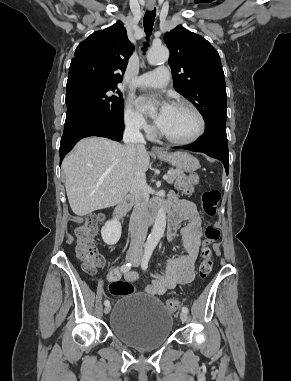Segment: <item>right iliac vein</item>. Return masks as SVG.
<instances>
[{
    "label": "right iliac vein",
    "instance_id": "obj_1",
    "mask_svg": "<svg viewBox=\"0 0 291 381\" xmlns=\"http://www.w3.org/2000/svg\"><path fill=\"white\" fill-rule=\"evenodd\" d=\"M137 256L135 254H128L126 256V260L129 261V262H134L136 260ZM111 310V306L110 305H107L105 308H104V313L105 314H108Z\"/></svg>",
    "mask_w": 291,
    "mask_h": 381
}]
</instances>
